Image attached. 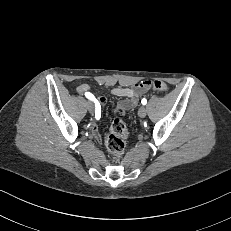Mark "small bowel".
Returning a JSON list of instances; mask_svg holds the SVG:
<instances>
[{"instance_id":"c3829d8e","label":"small bowel","mask_w":231,"mask_h":231,"mask_svg":"<svg viewBox=\"0 0 231 231\" xmlns=\"http://www.w3.org/2000/svg\"><path fill=\"white\" fill-rule=\"evenodd\" d=\"M150 81L141 82L135 84L132 87H115L110 90V94L116 97L123 98L117 105L114 113L116 114H124L127 110L135 107L138 103V97L149 87ZM90 90V86L86 83H81L77 87V91L79 93H87ZM90 93V92H89ZM97 103L100 105H104L106 103V98L104 96H99L96 99ZM96 118V117H95ZM96 120H98L96 118ZM91 132L94 138L98 141H101V135L98 130V126L95 121L91 123Z\"/></svg>"}]
</instances>
